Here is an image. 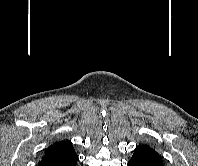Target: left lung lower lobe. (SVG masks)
<instances>
[{
    "label": "left lung lower lobe",
    "instance_id": "0a47b994",
    "mask_svg": "<svg viewBox=\"0 0 198 166\" xmlns=\"http://www.w3.org/2000/svg\"><path fill=\"white\" fill-rule=\"evenodd\" d=\"M128 166H163V164L146 160L140 156L133 155L128 161Z\"/></svg>",
    "mask_w": 198,
    "mask_h": 166
}]
</instances>
